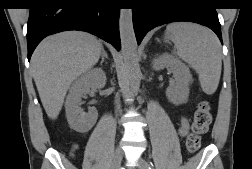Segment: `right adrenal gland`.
Instances as JSON below:
<instances>
[{
	"label": "right adrenal gland",
	"mask_w": 252,
	"mask_h": 169,
	"mask_svg": "<svg viewBox=\"0 0 252 169\" xmlns=\"http://www.w3.org/2000/svg\"><path fill=\"white\" fill-rule=\"evenodd\" d=\"M108 54L107 52L105 51V49L103 48L102 49V54H101V61H100V65L102 66V64L104 63L105 59H108Z\"/></svg>",
	"instance_id": "obj_1"
}]
</instances>
